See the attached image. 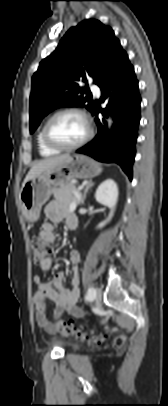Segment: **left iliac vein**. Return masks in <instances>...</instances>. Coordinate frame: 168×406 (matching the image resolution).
<instances>
[{
    "label": "left iliac vein",
    "instance_id": "left-iliac-vein-1",
    "mask_svg": "<svg viewBox=\"0 0 168 406\" xmlns=\"http://www.w3.org/2000/svg\"><path fill=\"white\" fill-rule=\"evenodd\" d=\"M101 295H102L101 289L99 287L95 288V296H94L93 300H95L96 304L99 303V301L101 299Z\"/></svg>",
    "mask_w": 168,
    "mask_h": 406
}]
</instances>
